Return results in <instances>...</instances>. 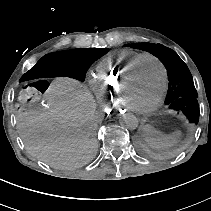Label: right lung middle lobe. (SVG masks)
<instances>
[{"label":"right lung middle lobe","mask_w":211,"mask_h":211,"mask_svg":"<svg viewBox=\"0 0 211 211\" xmlns=\"http://www.w3.org/2000/svg\"><path fill=\"white\" fill-rule=\"evenodd\" d=\"M81 52V66L80 71L77 75L73 76L74 78L83 81L86 71L89 69L90 65L93 64L97 59L102 57L108 52L107 48H88V49H79Z\"/></svg>","instance_id":"dd1d6c3e"}]
</instances>
